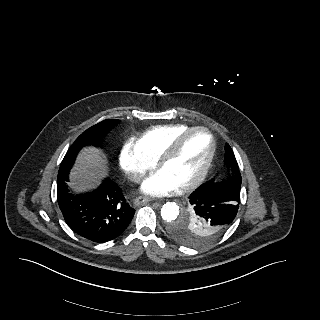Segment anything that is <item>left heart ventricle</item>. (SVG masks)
Wrapping results in <instances>:
<instances>
[{
    "label": "left heart ventricle",
    "instance_id": "b2bd125f",
    "mask_svg": "<svg viewBox=\"0 0 320 320\" xmlns=\"http://www.w3.org/2000/svg\"><path fill=\"white\" fill-rule=\"evenodd\" d=\"M209 148V137L205 133H195L184 140L176 156L160 171L180 187L200 172Z\"/></svg>",
    "mask_w": 320,
    "mask_h": 320
}]
</instances>
